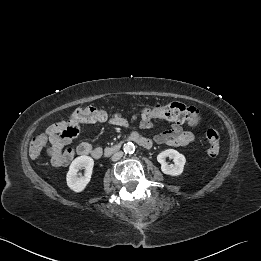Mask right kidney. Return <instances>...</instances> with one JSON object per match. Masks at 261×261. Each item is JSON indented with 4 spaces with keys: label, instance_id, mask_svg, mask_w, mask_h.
Masks as SVG:
<instances>
[{
    "label": "right kidney",
    "instance_id": "1",
    "mask_svg": "<svg viewBox=\"0 0 261 261\" xmlns=\"http://www.w3.org/2000/svg\"><path fill=\"white\" fill-rule=\"evenodd\" d=\"M94 160L90 156H80L73 160L66 176L67 185L74 192L83 191L90 182ZM84 168V176H78V171Z\"/></svg>",
    "mask_w": 261,
    "mask_h": 261
}]
</instances>
